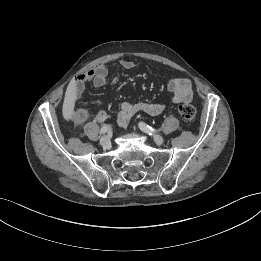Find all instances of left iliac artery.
<instances>
[{
    "instance_id": "obj_1",
    "label": "left iliac artery",
    "mask_w": 261,
    "mask_h": 261,
    "mask_svg": "<svg viewBox=\"0 0 261 261\" xmlns=\"http://www.w3.org/2000/svg\"><path fill=\"white\" fill-rule=\"evenodd\" d=\"M139 128L146 132L149 133V135H152V133L157 132L154 128L150 127L149 125L145 124L144 122L139 123Z\"/></svg>"
}]
</instances>
